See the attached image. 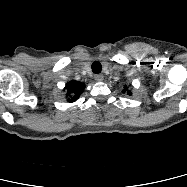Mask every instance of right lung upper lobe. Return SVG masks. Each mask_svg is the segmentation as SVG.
Instances as JSON below:
<instances>
[{
    "label": "right lung upper lobe",
    "mask_w": 187,
    "mask_h": 187,
    "mask_svg": "<svg viewBox=\"0 0 187 187\" xmlns=\"http://www.w3.org/2000/svg\"><path fill=\"white\" fill-rule=\"evenodd\" d=\"M85 85L79 81H70L66 84L67 96H69L68 101H76L80 94L84 91Z\"/></svg>",
    "instance_id": "cb5924a9"
}]
</instances>
